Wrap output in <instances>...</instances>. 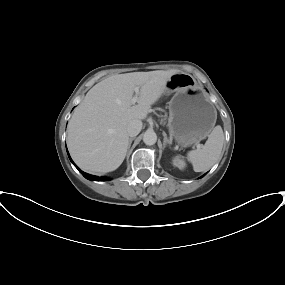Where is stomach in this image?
<instances>
[{
  "instance_id": "obj_1",
  "label": "stomach",
  "mask_w": 285,
  "mask_h": 285,
  "mask_svg": "<svg viewBox=\"0 0 285 285\" xmlns=\"http://www.w3.org/2000/svg\"><path fill=\"white\" fill-rule=\"evenodd\" d=\"M167 93H174L169 102L168 128L181 146L187 147L205 139L213 129L217 112L194 79L186 73L173 75L168 81Z\"/></svg>"
}]
</instances>
